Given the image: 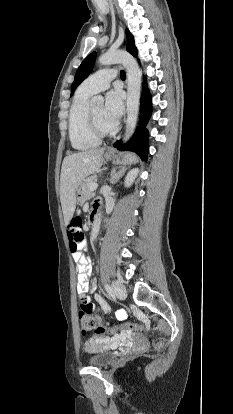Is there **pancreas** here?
<instances>
[{"mask_svg":"<svg viewBox=\"0 0 233 414\" xmlns=\"http://www.w3.org/2000/svg\"><path fill=\"white\" fill-rule=\"evenodd\" d=\"M96 182V177L90 176L84 180V184L86 186V194L87 197L91 195L92 190L90 189V184Z\"/></svg>","mask_w":233,"mask_h":414,"instance_id":"1","label":"pancreas"}]
</instances>
